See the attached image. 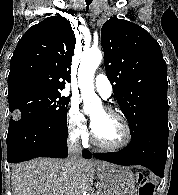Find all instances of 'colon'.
<instances>
[{
	"label": "colon",
	"mask_w": 178,
	"mask_h": 195,
	"mask_svg": "<svg viewBox=\"0 0 178 195\" xmlns=\"http://www.w3.org/2000/svg\"><path fill=\"white\" fill-rule=\"evenodd\" d=\"M154 187L152 183L146 178H139L138 195H153Z\"/></svg>",
	"instance_id": "5ec220e1"
}]
</instances>
